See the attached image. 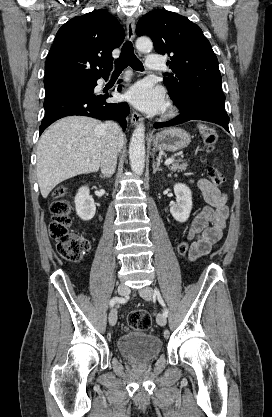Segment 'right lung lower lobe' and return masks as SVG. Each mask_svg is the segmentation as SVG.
Here are the masks:
<instances>
[{"label": "right lung lower lobe", "mask_w": 272, "mask_h": 417, "mask_svg": "<svg viewBox=\"0 0 272 417\" xmlns=\"http://www.w3.org/2000/svg\"><path fill=\"white\" fill-rule=\"evenodd\" d=\"M102 77L107 79L108 74ZM99 78L87 81L82 88L61 91L46 99V113L40 125V134L57 119L70 115L89 116L100 120L113 119L125 130L129 106L127 103H108L106 99L111 95L95 94L94 87ZM118 90H121L120 86Z\"/></svg>", "instance_id": "obj_1"}]
</instances>
